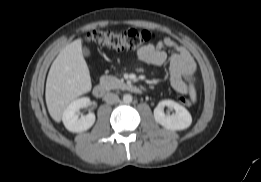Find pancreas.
<instances>
[{"instance_id":"obj_1","label":"pancreas","mask_w":261,"mask_h":182,"mask_svg":"<svg viewBox=\"0 0 261 182\" xmlns=\"http://www.w3.org/2000/svg\"><path fill=\"white\" fill-rule=\"evenodd\" d=\"M100 84L103 85L107 90L112 89H123L126 87L123 79H118L115 76H102L100 78Z\"/></svg>"}]
</instances>
